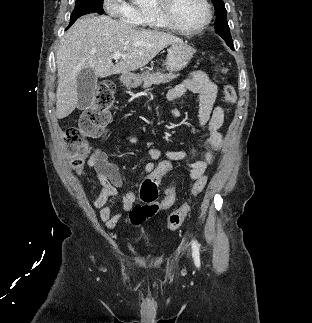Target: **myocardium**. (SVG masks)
Instances as JSON below:
<instances>
[{
    "label": "myocardium",
    "instance_id": "myocardium-1",
    "mask_svg": "<svg viewBox=\"0 0 312 323\" xmlns=\"http://www.w3.org/2000/svg\"><path fill=\"white\" fill-rule=\"evenodd\" d=\"M157 8L163 17L164 23H167L170 31H206V26L209 25L215 15L212 10L213 5L208 0H197L200 4L201 12L204 16L201 20H175L173 12H171L169 0H158Z\"/></svg>",
    "mask_w": 312,
    "mask_h": 323
}]
</instances>
